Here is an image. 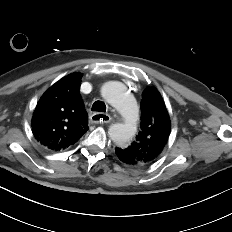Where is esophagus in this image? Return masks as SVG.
<instances>
[{
    "label": "esophagus",
    "mask_w": 232,
    "mask_h": 232,
    "mask_svg": "<svg viewBox=\"0 0 232 232\" xmlns=\"http://www.w3.org/2000/svg\"><path fill=\"white\" fill-rule=\"evenodd\" d=\"M90 119L95 124H107L111 121V116L105 113H94Z\"/></svg>",
    "instance_id": "obj_1"
}]
</instances>
